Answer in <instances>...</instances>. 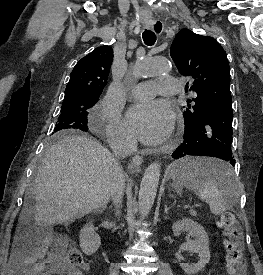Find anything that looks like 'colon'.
Returning <instances> with one entry per match:
<instances>
[{
	"label": "colon",
	"instance_id": "colon-1",
	"mask_svg": "<svg viewBox=\"0 0 263 275\" xmlns=\"http://www.w3.org/2000/svg\"><path fill=\"white\" fill-rule=\"evenodd\" d=\"M220 225L225 236L226 272L229 275H244L246 269L243 258L242 233L239 224L232 213L226 212L220 219ZM66 262L69 272L84 271L86 268L81 252L74 246L67 250Z\"/></svg>",
	"mask_w": 263,
	"mask_h": 275
}]
</instances>
